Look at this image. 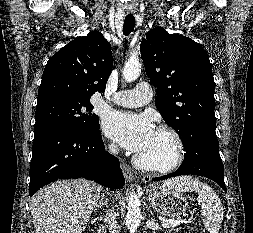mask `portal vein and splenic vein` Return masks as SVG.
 <instances>
[{
	"label": "portal vein and splenic vein",
	"mask_w": 253,
	"mask_h": 233,
	"mask_svg": "<svg viewBox=\"0 0 253 233\" xmlns=\"http://www.w3.org/2000/svg\"><path fill=\"white\" fill-rule=\"evenodd\" d=\"M187 221L184 220V219H180V220H173V221H170L168 223H163L162 224V227L163 228H172V227H176L182 223H186Z\"/></svg>",
	"instance_id": "portal-vein-and-splenic-vein-1"
}]
</instances>
